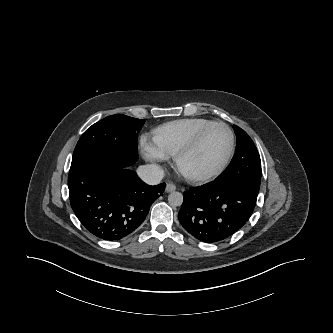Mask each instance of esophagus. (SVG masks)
<instances>
[{
  "mask_svg": "<svg viewBox=\"0 0 333 333\" xmlns=\"http://www.w3.org/2000/svg\"><path fill=\"white\" fill-rule=\"evenodd\" d=\"M176 190V186L174 185V184H172V183H168L167 185H166V189H165V191L167 192V193H171V192H173V191H175Z\"/></svg>",
  "mask_w": 333,
  "mask_h": 333,
  "instance_id": "34e87169",
  "label": "esophagus"
}]
</instances>
